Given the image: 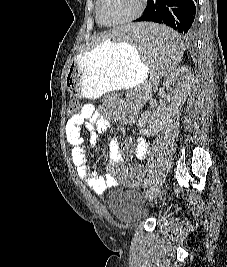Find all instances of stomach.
I'll return each mask as SVG.
<instances>
[{"label":"stomach","mask_w":227,"mask_h":267,"mask_svg":"<svg viewBox=\"0 0 227 267\" xmlns=\"http://www.w3.org/2000/svg\"><path fill=\"white\" fill-rule=\"evenodd\" d=\"M150 63L140 58L137 47L116 43L114 38L77 55L66 73L72 96L98 98L111 90L132 88L143 82Z\"/></svg>","instance_id":"0dacf381"}]
</instances>
